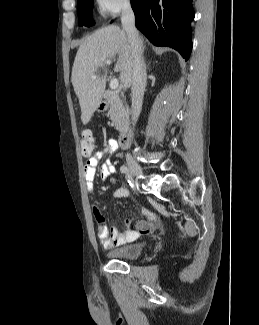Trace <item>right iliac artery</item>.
<instances>
[{
  "label": "right iliac artery",
  "mask_w": 259,
  "mask_h": 325,
  "mask_svg": "<svg viewBox=\"0 0 259 325\" xmlns=\"http://www.w3.org/2000/svg\"><path fill=\"white\" fill-rule=\"evenodd\" d=\"M126 170H129V169L127 168V166H125V165L121 166L120 171H121L122 173H125Z\"/></svg>",
  "instance_id": "82829eb1"
}]
</instances>
